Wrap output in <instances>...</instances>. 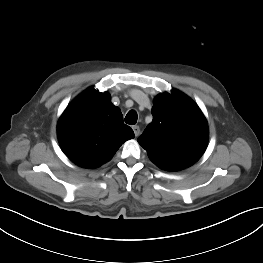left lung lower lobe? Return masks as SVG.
Here are the masks:
<instances>
[{
  "mask_svg": "<svg viewBox=\"0 0 263 263\" xmlns=\"http://www.w3.org/2000/svg\"><path fill=\"white\" fill-rule=\"evenodd\" d=\"M164 170H168V171H177V170H180L182 168H179V167H166V168H162Z\"/></svg>",
  "mask_w": 263,
  "mask_h": 263,
  "instance_id": "obj_1",
  "label": "left lung lower lobe"
}]
</instances>
